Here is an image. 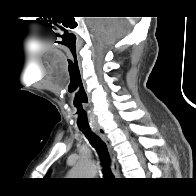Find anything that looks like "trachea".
<instances>
[{"label": "trachea", "mask_w": 196, "mask_h": 196, "mask_svg": "<svg viewBox=\"0 0 196 196\" xmlns=\"http://www.w3.org/2000/svg\"><path fill=\"white\" fill-rule=\"evenodd\" d=\"M80 130L85 134L90 144L96 149L103 167L102 171L104 176L109 179L113 178V174L110 169V158L105 142L99 136L93 133L89 127L80 128Z\"/></svg>", "instance_id": "trachea-1"}]
</instances>
